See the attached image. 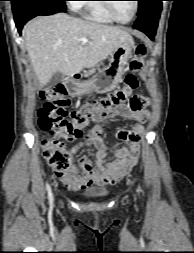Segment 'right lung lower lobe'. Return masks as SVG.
I'll return each mask as SVG.
<instances>
[{"instance_id": "98d812e1", "label": "right lung lower lobe", "mask_w": 194, "mask_h": 253, "mask_svg": "<svg viewBox=\"0 0 194 253\" xmlns=\"http://www.w3.org/2000/svg\"><path fill=\"white\" fill-rule=\"evenodd\" d=\"M58 12H66V7L55 1L26 2L20 4L13 10L15 23L20 34L23 25L31 18L38 15H51Z\"/></svg>"}]
</instances>
